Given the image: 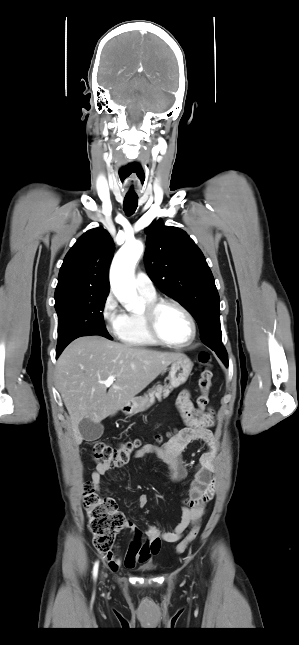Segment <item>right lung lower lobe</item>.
Wrapping results in <instances>:
<instances>
[{
    "mask_svg": "<svg viewBox=\"0 0 299 645\" xmlns=\"http://www.w3.org/2000/svg\"><path fill=\"white\" fill-rule=\"evenodd\" d=\"M62 351H56V357H58Z\"/></svg>",
    "mask_w": 299,
    "mask_h": 645,
    "instance_id": "right-lung-lower-lobe-1",
    "label": "right lung lower lobe"
}]
</instances>
